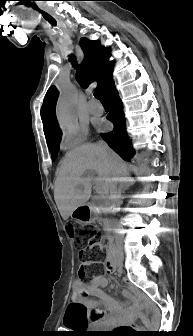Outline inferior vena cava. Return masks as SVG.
<instances>
[{
  "instance_id": "inferior-vena-cava-1",
  "label": "inferior vena cava",
  "mask_w": 193,
  "mask_h": 336,
  "mask_svg": "<svg viewBox=\"0 0 193 336\" xmlns=\"http://www.w3.org/2000/svg\"><path fill=\"white\" fill-rule=\"evenodd\" d=\"M98 148L103 152L106 153L107 150V145L104 144L103 142H99ZM120 190L117 189V184H113L110 189V200L114 206H119L121 204V199H120Z\"/></svg>"
}]
</instances>
